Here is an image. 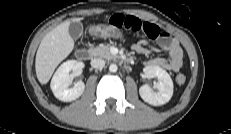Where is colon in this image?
I'll return each instance as SVG.
<instances>
[{
	"label": "colon",
	"mask_w": 231,
	"mask_h": 134,
	"mask_svg": "<svg viewBox=\"0 0 231 134\" xmlns=\"http://www.w3.org/2000/svg\"><path fill=\"white\" fill-rule=\"evenodd\" d=\"M90 34L100 38H114V39H127L128 35L122 30L112 28L109 25L98 24L90 28ZM186 81L184 74H178L176 76V82L183 84Z\"/></svg>",
	"instance_id": "5ec220e1"
}]
</instances>
